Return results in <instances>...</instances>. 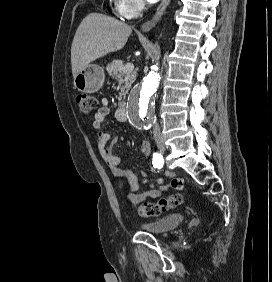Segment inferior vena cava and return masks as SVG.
Masks as SVG:
<instances>
[{"label": "inferior vena cava", "instance_id": "obj_1", "mask_svg": "<svg viewBox=\"0 0 272 282\" xmlns=\"http://www.w3.org/2000/svg\"><path fill=\"white\" fill-rule=\"evenodd\" d=\"M153 135L155 140H161L162 139V134L159 128V125L157 122L153 123Z\"/></svg>", "mask_w": 272, "mask_h": 282}]
</instances>
